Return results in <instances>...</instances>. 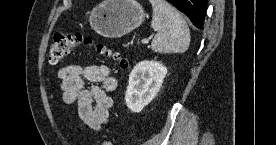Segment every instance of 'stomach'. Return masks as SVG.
<instances>
[{"mask_svg":"<svg viewBox=\"0 0 276 145\" xmlns=\"http://www.w3.org/2000/svg\"><path fill=\"white\" fill-rule=\"evenodd\" d=\"M146 14L135 0H105L89 15L92 29L107 38H118L140 26Z\"/></svg>","mask_w":276,"mask_h":145,"instance_id":"1","label":"stomach"}]
</instances>
